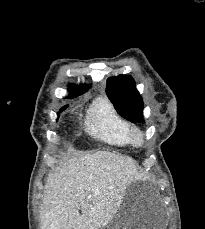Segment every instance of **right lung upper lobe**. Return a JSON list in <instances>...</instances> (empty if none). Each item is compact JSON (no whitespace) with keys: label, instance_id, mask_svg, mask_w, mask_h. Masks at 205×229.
Returning <instances> with one entry per match:
<instances>
[{"label":"right lung upper lobe","instance_id":"cb5924a9","mask_svg":"<svg viewBox=\"0 0 205 229\" xmlns=\"http://www.w3.org/2000/svg\"><path fill=\"white\" fill-rule=\"evenodd\" d=\"M91 85H80V86H76V85H71L69 90H70V94L68 96V98L72 99L75 98L85 92H87V90L90 88Z\"/></svg>","mask_w":205,"mask_h":229}]
</instances>
